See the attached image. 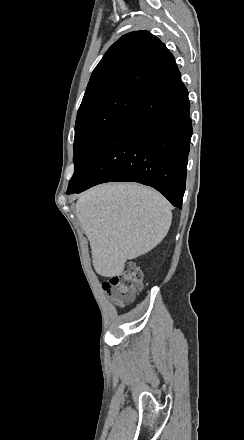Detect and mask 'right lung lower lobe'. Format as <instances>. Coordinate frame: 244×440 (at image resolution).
I'll return each mask as SVG.
<instances>
[{
  "instance_id": "obj_1",
  "label": "right lung lower lobe",
  "mask_w": 244,
  "mask_h": 440,
  "mask_svg": "<svg viewBox=\"0 0 244 440\" xmlns=\"http://www.w3.org/2000/svg\"><path fill=\"white\" fill-rule=\"evenodd\" d=\"M177 71L140 98L112 130L67 194L110 181L152 186L181 208L192 122Z\"/></svg>"
}]
</instances>
